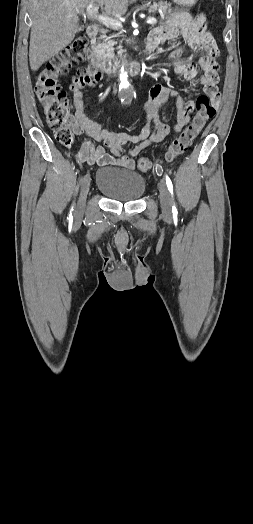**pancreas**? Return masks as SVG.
Wrapping results in <instances>:
<instances>
[{
	"instance_id": "1",
	"label": "pancreas",
	"mask_w": 253,
	"mask_h": 524,
	"mask_svg": "<svg viewBox=\"0 0 253 524\" xmlns=\"http://www.w3.org/2000/svg\"><path fill=\"white\" fill-rule=\"evenodd\" d=\"M161 10L162 15L165 19H169L171 16H173V12L171 9V4L163 1L154 2L148 7L149 13H155L156 11ZM118 34L111 35L109 37H106L102 43H98L94 45L95 52L102 58L105 57H114V45L116 44L115 41H113L111 38L117 37Z\"/></svg>"
}]
</instances>
